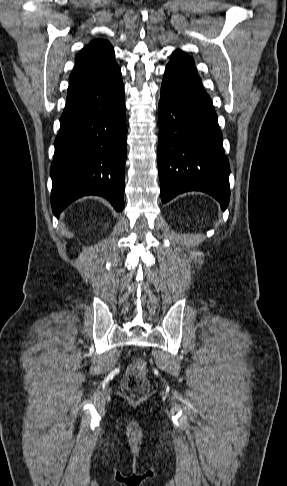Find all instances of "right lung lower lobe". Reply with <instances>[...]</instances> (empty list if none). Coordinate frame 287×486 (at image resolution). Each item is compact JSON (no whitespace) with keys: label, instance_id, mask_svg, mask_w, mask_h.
<instances>
[{"label":"right lung lower lobe","instance_id":"right-lung-lower-lobe-1","mask_svg":"<svg viewBox=\"0 0 287 486\" xmlns=\"http://www.w3.org/2000/svg\"><path fill=\"white\" fill-rule=\"evenodd\" d=\"M126 140L121 76L67 98L50 169L55 216L85 195L105 197L118 212L124 208Z\"/></svg>","mask_w":287,"mask_h":486}]
</instances>
